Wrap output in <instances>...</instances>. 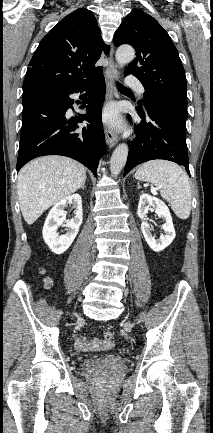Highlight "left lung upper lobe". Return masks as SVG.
<instances>
[{"instance_id": "obj_1", "label": "left lung upper lobe", "mask_w": 213, "mask_h": 433, "mask_svg": "<svg viewBox=\"0 0 213 433\" xmlns=\"http://www.w3.org/2000/svg\"><path fill=\"white\" fill-rule=\"evenodd\" d=\"M114 44H130L136 50L125 75L132 73L142 83L143 105H167L188 114L182 62L170 36L153 17L141 9L132 10L115 32Z\"/></svg>"}]
</instances>
